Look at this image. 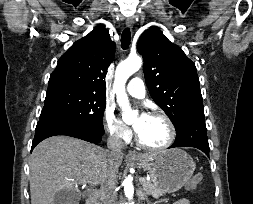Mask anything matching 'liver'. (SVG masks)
I'll return each mask as SVG.
<instances>
[{
	"label": "liver",
	"mask_w": 253,
	"mask_h": 204,
	"mask_svg": "<svg viewBox=\"0 0 253 204\" xmlns=\"http://www.w3.org/2000/svg\"><path fill=\"white\" fill-rule=\"evenodd\" d=\"M123 154L108 159L107 151L86 141L68 136H53L39 143L30 162L31 204H54L60 190H75L79 184L98 181L116 173Z\"/></svg>",
	"instance_id": "1"
}]
</instances>
